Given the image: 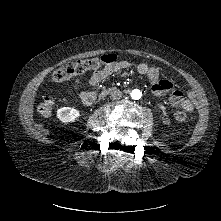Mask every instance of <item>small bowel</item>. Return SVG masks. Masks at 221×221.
<instances>
[{"label": "small bowel", "mask_w": 221, "mask_h": 221, "mask_svg": "<svg viewBox=\"0 0 221 221\" xmlns=\"http://www.w3.org/2000/svg\"><path fill=\"white\" fill-rule=\"evenodd\" d=\"M128 63L126 62H114L104 68L95 69L89 71L85 75L86 83L94 88L93 92H82L81 98L89 102L93 97L95 92H98L102 88V80L118 71L122 68L127 67ZM136 71L147 77L152 83L151 88L147 91L150 97H158L165 93H170V102L175 109H189L191 104L190 102L183 97V91L174 85L171 81L166 79L165 73H160L156 68L151 67L146 64H137L135 66Z\"/></svg>", "instance_id": "obj_1"}]
</instances>
